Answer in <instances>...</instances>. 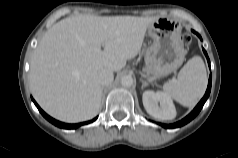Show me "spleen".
<instances>
[{"label":"spleen","instance_id":"spleen-1","mask_svg":"<svg viewBox=\"0 0 238 158\" xmlns=\"http://www.w3.org/2000/svg\"><path fill=\"white\" fill-rule=\"evenodd\" d=\"M207 86V72L200 56L192 57L179 71L177 79L163 86L164 93L183 106H194Z\"/></svg>","mask_w":238,"mask_h":158}]
</instances>
